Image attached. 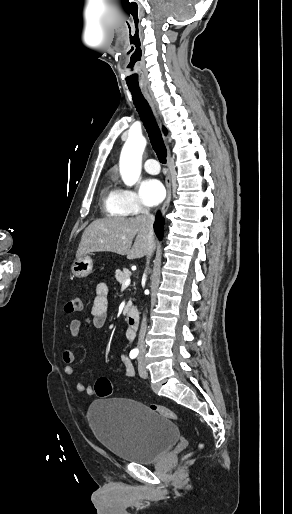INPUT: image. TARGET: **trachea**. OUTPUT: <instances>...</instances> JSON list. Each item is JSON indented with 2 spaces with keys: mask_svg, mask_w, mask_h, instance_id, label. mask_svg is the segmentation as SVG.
<instances>
[{
  "mask_svg": "<svg viewBox=\"0 0 292 514\" xmlns=\"http://www.w3.org/2000/svg\"><path fill=\"white\" fill-rule=\"evenodd\" d=\"M130 92L132 94L135 108L148 133L152 147L156 152L159 161L162 164H166L167 149L165 147L160 128L155 120V117L150 106L147 100H145V98L143 97L141 90L130 89Z\"/></svg>",
  "mask_w": 292,
  "mask_h": 514,
  "instance_id": "trachea-1",
  "label": "trachea"
}]
</instances>
